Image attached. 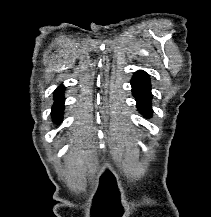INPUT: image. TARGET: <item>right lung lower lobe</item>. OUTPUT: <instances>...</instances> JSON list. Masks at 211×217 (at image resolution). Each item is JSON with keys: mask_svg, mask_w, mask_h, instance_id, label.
<instances>
[{"mask_svg": "<svg viewBox=\"0 0 211 217\" xmlns=\"http://www.w3.org/2000/svg\"><path fill=\"white\" fill-rule=\"evenodd\" d=\"M64 87L61 85L59 86L54 92V105L52 107V119L55 123L59 124L62 122L63 114H64Z\"/></svg>", "mask_w": 211, "mask_h": 217, "instance_id": "right-lung-lower-lobe-1", "label": "right lung lower lobe"}]
</instances>
